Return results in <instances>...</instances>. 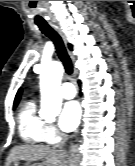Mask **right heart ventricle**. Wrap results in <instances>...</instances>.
Instances as JSON below:
<instances>
[{
    "label": "right heart ventricle",
    "instance_id": "right-heart-ventricle-1",
    "mask_svg": "<svg viewBox=\"0 0 135 166\" xmlns=\"http://www.w3.org/2000/svg\"><path fill=\"white\" fill-rule=\"evenodd\" d=\"M45 121L37 114L36 104L30 99L23 103L18 113V130L21 139L30 145L46 141Z\"/></svg>",
    "mask_w": 135,
    "mask_h": 166
}]
</instances>
